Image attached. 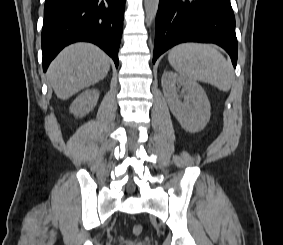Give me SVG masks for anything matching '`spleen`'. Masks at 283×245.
<instances>
[{
    "label": "spleen",
    "instance_id": "3e777b00",
    "mask_svg": "<svg viewBox=\"0 0 283 245\" xmlns=\"http://www.w3.org/2000/svg\"><path fill=\"white\" fill-rule=\"evenodd\" d=\"M171 66L183 77L209 83L227 92L233 81V69L225 57L212 45L181 43L168 54Z\"/></svg>",
    "mask_w": 283,
    "mask_h": 245
}]
</instances>
